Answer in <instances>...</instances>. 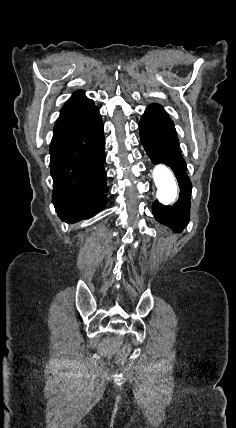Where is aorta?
Wrapping results in <instances>:
<instances>
[{
    "label": "aorta",
    "instance_id": "762f6f07",
    "mask_svg": "<svg viewBox=\"0 0 236 428\" xmlns=\"http://www.w3.org/2000/svg\"><path fill=\"white\" fill-rule=\"evenodd\" d=\"M152 175L159 202L163 205L172 204L177 197V184L172 171L167 166L159 164L154 167Z\"/></svg>",
    "mask_w": 236,
    "mask_h": 428
}]
</instances>
